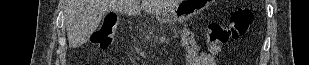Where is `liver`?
Segmentation results:
<instances>
[{
    "instance_id": "6515ba94",
    "label": "liver",
    "mask_w": 309,
    "mask_h": 65,
    "mask_svg": "<svg viewBox=\"0 0 309 65\" xmlns=\"http://www.w3.org/2000/svg\"><path fill=\"white\" fill-rule=\"evenodd\" d=\"M64 0V19L69 46L79 47L87 42L98 28L108 11H118L127 15L146 13L160 14L174 8L175 0Z\"/></svg>"
}]
</instances>
